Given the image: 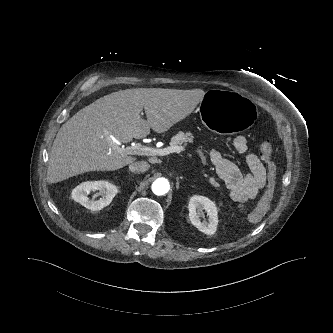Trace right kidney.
<instances>
[{
    "mask_svg": "<svg viewBox=\"0 0 333 333\" xmlns=\"http://www.w3.org/2000/svg\"><path fill=\"white\" fill-rule=\"evenodd\" d=\"M95 191H99L98 194L101 195L102 198L95 201L90 200L87 194ZM117 192V187L108 181H88L74 188L71 197L87 209L97 211L109 205Z\"/></svg>",
    "mask_w": 333,
    "mask_h": 333,
    "instance_id": "ca27d5eb",
    "label": "right kidney"
}]
</instances>
